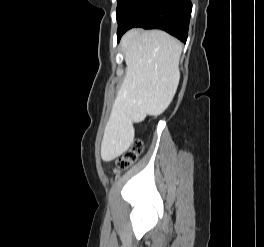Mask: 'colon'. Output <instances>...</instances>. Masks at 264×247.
<instances>
[{
  "mask_svg": "<svg viewBox=\"0 0 264 247\" xmlns=\"http://www.w3.org/2000/svg\"><path fill=\"white\" fill-rule=\"evenodd\" d=\"M143 150V144L140 141H136L132 147L124 153L119 159L117 160V169L118 171H123L128 169L137 159L138 155Z\"/></svg>",
  "mask_w": 264,
  "mask_h": 247,
  "instance_id": "obj_1",
  "label": "colon"
}]
</instances>
